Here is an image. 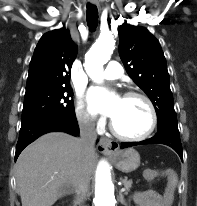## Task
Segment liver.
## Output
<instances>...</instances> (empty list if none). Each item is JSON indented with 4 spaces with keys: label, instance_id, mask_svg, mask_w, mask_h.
Instances as JSON below:
<instances>
[{
    "label": "liver",
    "instance_id": "6515ba94",
    "mask_svg": "<svg viewBox=\"0 0 197 206\" xmlns=\"http://www.w3.org/2000/svg\"><path fill=\"white\" fill-rule=\"evenodd\" d=\"M95 162V150L83 155L76 137L62 132L41 136L22 151L16 163L22 206H52L77 187L82 168L90 180Z\"/></svg>",
    "mask_w": 197,
    "mask_h": 206
}]
</instances>
